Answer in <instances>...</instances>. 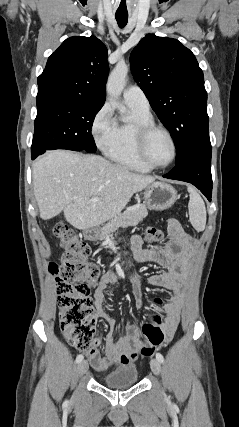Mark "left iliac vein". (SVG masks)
<instances>
[{
	"instance_id": "left-iliac-vein-1",
	"label": "left iliac vein",
	"mask_w": 239,
	"mask_h": 427,
	"mask_svg": "<svg viewBox=\"0 0 239 427\" xmlns=\"http://www.w3.org/2000/svg\"><path fill=\"white\" fill-rule=\"evenodd\" d=\"M151 370L156 375L159 376L161 372V364L158 359H152L150 362Z\"/></svg>"
}]
</instances>
